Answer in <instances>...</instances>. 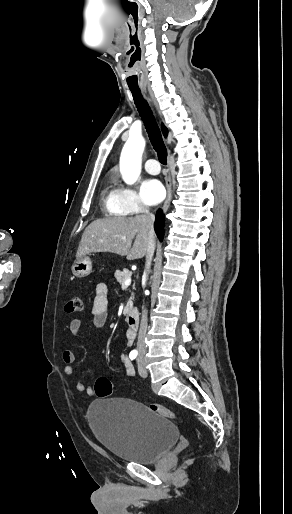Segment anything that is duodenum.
<instances>
[{"label":"duodenum","mask_w":292,"mask_h":514,"mask_svg":"<svg viewBox=\"0 0 292 514\" xmlns=\"http://www.w3.org/2000/svg\"><path fill=\"white\" fill-rule=\"evenodd\" d=\"M128 328L130 332H134L139 324V312L137 309L132 308L128 311Z\"/></svg>","instance_id":"1"}]
</instances>
